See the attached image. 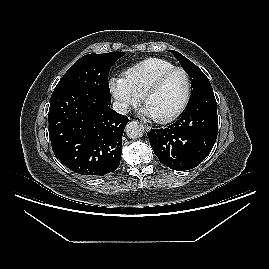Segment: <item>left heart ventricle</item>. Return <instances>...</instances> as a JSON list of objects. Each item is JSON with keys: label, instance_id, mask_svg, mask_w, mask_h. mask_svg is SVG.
Returning a JSON list of instances; mask_svg holds the SVG:
<instances>
[{"label": "left heart ventricle", "instance_id": "left-heart-ventricle-1", "mask_svg": "<svg viewBox=\"0 0 269 269\" xmlns=\"http://www.w3.org/2000/svg\"><path fill=\"white\" fill-rule=\"evenodd\" d=\"M187 80L183 72L172 73L145 102L144 107L152 117H164L174 112L183 102Z\"/></svg>", "mask_w": 269, "mask_h": 269}]
</instances>
